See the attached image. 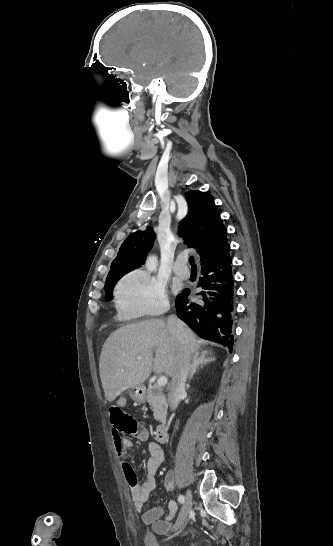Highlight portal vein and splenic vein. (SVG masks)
I'll use <instances>...</instances> for the list:
<instances>
[{
	"label": "portal vein and splenic vein",
	"instance_id": "portal-vein-and-splenic-vein-1",
	"mask_svg": "<svg viewBox=\"0 0 333 546\" xmlns=\"http://www.w3.org/2000/svg\"><path fill=\"white\" fill-rule=\"evenodd\" d=\"M141 359H142L141 356H138V357H137V360H141ZM122 371H123V370H122ZM167 382H168V379H167L166 376H160V377L158 378V380H157V385L160 386V387H162V386H165V385L167 384Z\"/></svg>",
	"mask_w": 333,
	"mask_h": 546
}]
</instances>
